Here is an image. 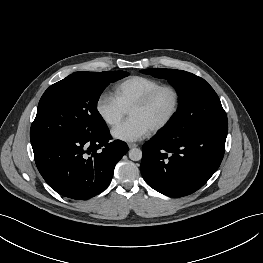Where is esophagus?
Here are the masks:
<instances>
[{"mask_svg":"<svg viewBox=\"0 0 263 263\" xmlns=\"http://www.w3.org/2000/svg\"><path fill=\"white\" fill-rule=\"evenodd\" d=\"M138 145L136 143H128V147L131 149V148H135L137 147Z\"/></svg>","mask_w":263,"mask_h":263,"instance_id":"1","label":"esophagus"}]
</instances>
